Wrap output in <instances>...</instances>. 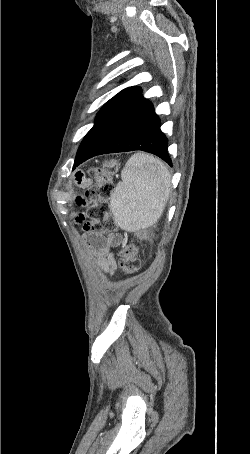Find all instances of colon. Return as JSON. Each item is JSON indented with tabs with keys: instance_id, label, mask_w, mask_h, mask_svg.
<instances>
[{
	"instance_id": "colon-1",
	"label": "colon",
	"mask_w": 250,
	"mask_h": 454,
	"mask_svg": "<svg viewBox=\"0 0 250 454\" xmlns=\"http://www.w3.org/2000/svg\"><path fill=\"white\" fill-rule=\"evenodd\" d=\"M118 167V161L110 159L105 161L102 166H93L86 171V176L95 182V185L86 193L92 202L87 213L91 220L89 224L91 232L103 233L111 231L115 227L109 200L114 190L111 179L117 173ZM118 256L120 269L125 275H132L140 269L141 264L134 244L123 245Z\"/></svg>"
}]
</instances>
